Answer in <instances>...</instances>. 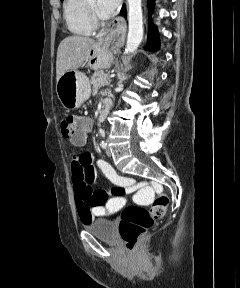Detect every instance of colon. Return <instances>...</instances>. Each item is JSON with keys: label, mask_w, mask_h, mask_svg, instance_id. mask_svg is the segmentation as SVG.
Instances as JSON below:
<instances>
[{"label": "colon", "mask_w": 240, "mask_h": 288, "mask_svg": "<svg viewBox=\"0 0 240 288\" xmlns=\"http://www.w3.org/2000/svg\"><path fill=\"white\" fill-rule=\"evenodd\" d=\"M61 131L65 138L73 142L80 141L88 134L89 121L82 117L67 115L61 121ZM168 203L167 195L160 194L149 209L132 205L123 210L119 231L128 250H134L153 223L164 216Z\"/></svg>", "instance_id": "colon-1"}]
</instances>
